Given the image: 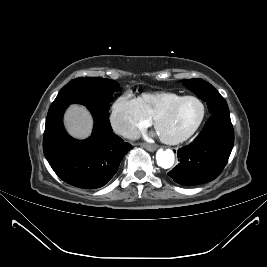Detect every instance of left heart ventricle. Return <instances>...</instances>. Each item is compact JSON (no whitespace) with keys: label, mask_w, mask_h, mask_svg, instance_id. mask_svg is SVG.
Returning a JSON list of instances; mask_svg holds the SVG:
<instances>
[{"label":"left heart ventricle","mask_w":267,"mask_h":267,"mask_svg":"<svg viewBox=\"0 0 267 267\" xmlns=\"http://www.w3.org/2000/svg\"><path fill=\"white\" fill-rule=\"evenodd\" d=\"M201 105L195 100H188L177 107L172 113L159 121L157 131L160 135L170 138L182 136L198 121Z\"/></svg>","instance_id":"b2bd125f"}]
</instances>
